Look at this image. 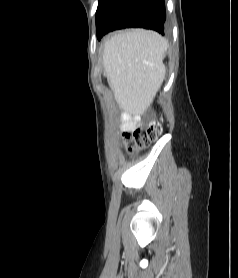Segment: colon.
Returning <instances> with one entry per match:
<instances>
[{
    "label": "colon",
    "mask_w": 238,
    "mask_h": 278,
    "mask_svg": "<svg viewBox=\"0 0 238 278\" xmlns=\"http://www.w3.org/2000/svg\"><path fill=\"white\" fill-rule=\"evenodd\" d=\"M162 133L160 122H153L148 128H136L124 134V146L129 153L146 148Z\"/></svg>",
    "instance_id": "5ec220e1"
}]
</instances>
